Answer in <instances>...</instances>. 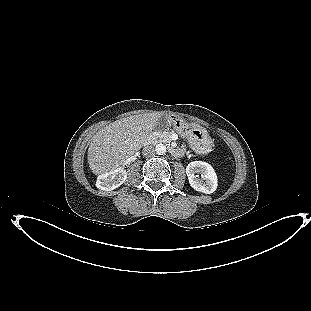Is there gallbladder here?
I'll list each match as a JSON object with an SVG mask.
<instances>
[{
    "mask_svg": "<svg viewBox=\"0 0 311 311\" xmlns=\"http://www.w3.org/2000/svg\"><path fill=\"white\" fill-rule=\"evenodd\" d=\"M168 122V117L166 115H163L161 118H159L157 122V127H163L167 124Z\"/></svg>",
    "mask_w": 311,
    "mask_h": 311,
    "instance_id": "gallbladder-1",
    "label": "gallbladder"
}]
</instances>
